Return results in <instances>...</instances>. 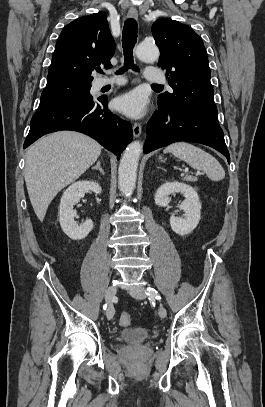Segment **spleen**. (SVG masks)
I'll return each mask as SVG.
<instances>
[{"instance_id":"3e777b00","label":"spleen","mask_w":265,"mask_h":407,"mask_svg":"<svg viewBox=\"0 0 265 407\" xmlns=\"http://www.w3.org/2000/svg\"><path fill=\"white\" fill-rule=\"evenodd\" d=\"M164 153H172L178 159L188 163L192 168L205 172L213 181H220L225 178V171L217 159L192 144L176 142L167 146Z\"/></svg>"}]
</instances>
